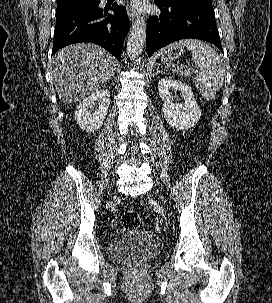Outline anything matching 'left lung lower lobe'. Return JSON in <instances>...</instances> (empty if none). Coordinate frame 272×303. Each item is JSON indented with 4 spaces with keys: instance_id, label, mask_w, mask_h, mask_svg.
<instances>
[{
    "instance_id": "1",
    "label": "left lung lower lobe",
    "mask_w": 272,
    "mask_h": 303,
    "mask_svg": "<svg viewBox=\"0 0 272 303\" xmlns=\"http://www.w3.org/2000/svg\"><path fill=\"white\" fill-rule=\"evenodd\" d=\"M161 10L147 22L146 47L148 56L156 50L180 39L197 38L216 45L221 42L213 7L180 5L165 6L155 0Z\"/></svg>"
}]
</instances>
